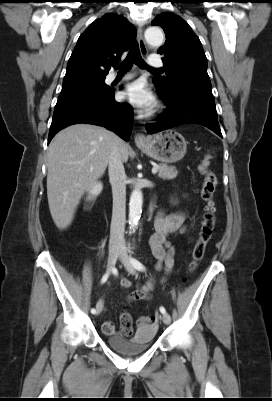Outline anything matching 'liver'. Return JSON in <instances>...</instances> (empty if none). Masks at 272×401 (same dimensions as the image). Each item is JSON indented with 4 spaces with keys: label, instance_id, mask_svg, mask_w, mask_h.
<instances>
[{
    "label": "liver",
    "instance_id": "6515ba94",
    "mask_svg": "<svg viewBox=\"0 0 272 401\" xmlns=\"http://www.w3.org/2000/svg\"><path fill=\"white\" fill-rule=\"evenodd\" d=\"M114 145L126 162L128 144L103 127L76 124L53 138L47 153V197L59 229L71 224L81 196L104 174Z\"/></svg>",
    "mask_w": 272,
    "mask_h": 401
}]
</instances>
